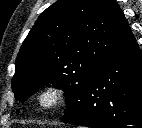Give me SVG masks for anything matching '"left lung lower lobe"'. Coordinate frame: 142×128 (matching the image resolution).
Wrapping results in <instances>:
<instances>
[{
  "mask_svg": "<svg viewBox=\"0 0 142 128\" xmlns=\"http://www.w3.org/2000/svg\"><path fill=\"white\" fill-rule=\"evenodd\" d=\"M63 122L89 128H142V52L133 36L86 83Z\"/></svg>",
  "mask_w": 142,
  "mask_h": 128,
  "instance_id": "obj_1",
  "label": "left lung lower lobe"
}]
</instances>
